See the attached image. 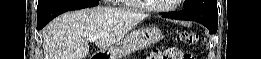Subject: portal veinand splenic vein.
Returning a JSON list of instances; mask_svg holds the SVG:
<instances>
[{"label":"portal vein and splenic vein","instance_id":"portal-vein-and-splenic-vein-1","mask_svg":"<svg viewBox=\"0 0 261 59\" xmlns=\"http://www.w3.org/2000/svg\"><path fill=\"white\" fill-rule=\"evenodd\" d=\"M97 38H98L97 36H90L89 37V41L90 42H95L97 40Z\"/></svg>","mask_w":261,"mask_h":59}]
</instances>
